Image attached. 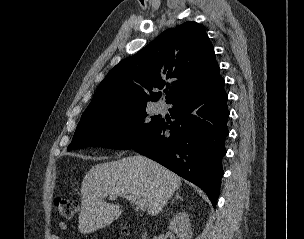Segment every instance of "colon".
Segmentation results:
<instances>
[{
	"label": "colon",
	"mask_w": 304,
	"mask_h": 239,
	"mask_svg": "<svg viewBox=\"0 0 304 239\" xmlns=\"http://www.w3.org/2000/svg\"><path fill=\"white\" fill-rule=\"evenodd\" d=\"M55 206L63 218L69 219L77 213L79 203L77 200L69 197H57L55 199Z\"/></svg>",
	"instance_id": "5ec220e1"
}]
</instances>
